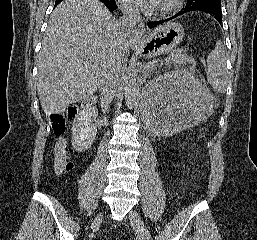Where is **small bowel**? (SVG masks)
Returning a JSON list of instances; mask_svg holds the SVG:
<instances>
[{
    "instance_id": "c3829d8e",
    "label": "small bowel",
    "mask_w": 257,
    "mask_h": 240,
    "mask_svg": "<svg viewBox=\"0 0 257 240\" xmlns=\"http://www.w3.org/2000/svg\"><path fill=\"white\" fill-rule=\"evenodd\" d=\"M66 142L59 139L54 145V153L56 159H63L65 157Z\"/></svg>"
}]
</instances>
